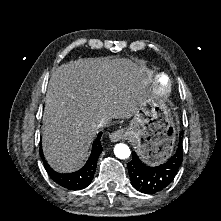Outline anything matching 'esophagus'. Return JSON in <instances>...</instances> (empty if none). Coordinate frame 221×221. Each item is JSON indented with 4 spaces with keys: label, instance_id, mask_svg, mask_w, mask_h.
<instances>
[{
    "label": "esophagus",
    "instance_id": "1",
    "mask_svg": "<svg viewBox=\"0 0 221 221\" xmlns=\"http://www.w3.org/2000/svg\"><path fill=\"white\" fill-rule=\"evenodd\" d=\"M109 138L112 142H117L120 140H127L130 138V134L124 129H118L109 134Z\"/></svg>",
    "mask_w": 221,
    "mask_h": 221
}]
</instances>
